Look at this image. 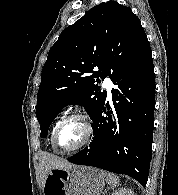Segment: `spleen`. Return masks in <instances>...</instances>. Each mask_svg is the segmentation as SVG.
Listing matches in <instances>:
<instances>
[{"label": "spleen", "mask_w": 178, "mask_h": 195, "mask_svg": "<svg viewBox=\"0 0 178 195\" xmlns=\"http://www.w3.org/2000/svg\"><path fill=\"white\" fill-rule=\"evenodd\" d=\"M106 182L111 186V187H115L117 185H119V177L116 176L115 174L109 173V172H103Z\"/></svg>", "instance_id": "obj_1"}]
</instances>
